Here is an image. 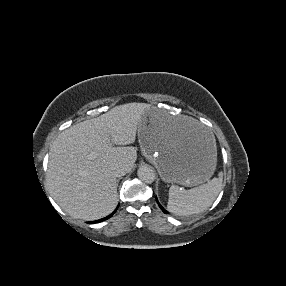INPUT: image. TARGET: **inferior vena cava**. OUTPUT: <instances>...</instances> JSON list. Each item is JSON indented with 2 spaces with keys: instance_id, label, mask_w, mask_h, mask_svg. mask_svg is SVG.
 <instances>
[{
  "instance_id": "1",
  "label": "inferior vena cava",
  "mask_w": 286,
  "mask_h": 286,
  "mask_svg": "<svg viewBox=\"0 0 286 286\" xmlns=\"http://www.w3.org/2000/svg\"><path fill=\"white\" fill-rule=\"evenodd\" d=\"M112 173L115 177H122L127 173V167L124 164H115L112 167Z\"/></svg>"
}]
</instances>
